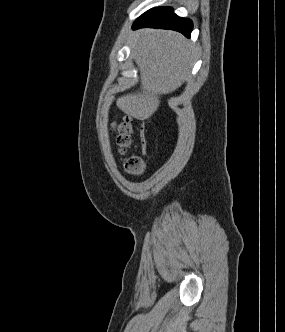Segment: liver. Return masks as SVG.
I'll return each mask as SVG.
<instances>
[{"instance_id":"1","label":"liver","mask_w":285,"mask_h":332,"mask_svg":"<svg viewBox=\"0 0 285 332\" xmlns=\"http://www.w3.org/2000/svg\"><path fill=\"white\" fill-rule=\"evenodd\" d=\"M132 54L140 70V92L119 97L116 105L128 116L145 120L157 111L160 95L172 93L187 79L194 48L175 31L141 29L134 33Z\"/></svg>"}]
</instances>
